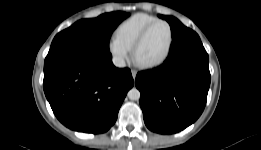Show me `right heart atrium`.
<instances>
[{
    "mask_svg": "<svg viewBox=\"0 0 261 150\" xmlns=\"http://www.w3.org/2000/svg\"><path fill=\"white\" fill-rule=\"evenodd\" d=\"M108 50L115 64L123 66L130 57L131 50L113 37L108 42Z\"/></svg>",
    "mask_w": 261,
    "mask_h": 150,
    "instance_id": "1",
    "label": "right heart atrium"
}]
</instances>
